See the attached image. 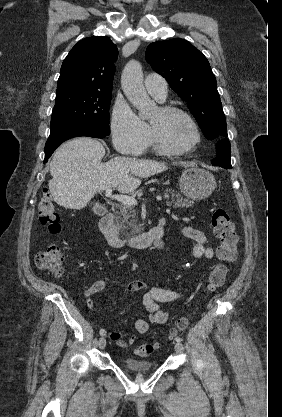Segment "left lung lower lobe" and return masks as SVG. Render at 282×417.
<instances>
[{
	"instance_id": "obj_1",
	"label": "left lung lower lobe",
	"mask_w": 282,
	"mask_h": 417,
	"mask_svg": "<svg viewBox=\"0 0 282 417\" xmlns=\"http://www.w3.org/2000/svg\"><path fill=\"white\" fill-rule=\"evenodd\" d=\"M213 142L216 144L217 157L212 161V164L231 169V149L227 136L220 137Z\"/></svg>"
}]
</instances>
